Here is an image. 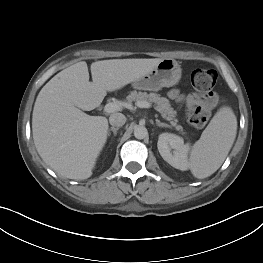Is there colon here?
I'll list each match as a JSON object with an SVG mask.
<instances>
[{
	"label": "colon",
	"mask_w": 263,
	"mask_h": 263,
	"mask_svg": "<svg viewBox=\"0 0 263 263\" xmlns=\"http://www.w3.org/2000/svg\"><path fill=\"white\" fill-rule=\"evenodd\" d=\"M190 78L201 101L189 106L187 119L191 126L202 128L209 120L211 107L216 103L214 87L217 82V73L213 69L198 68L191 73Z\"/></svg>",
	"instance_id": "obj_1"
}]
</instances>
